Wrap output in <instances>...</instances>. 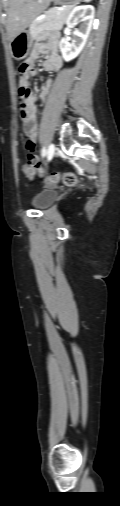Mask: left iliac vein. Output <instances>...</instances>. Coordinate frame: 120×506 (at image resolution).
<instances>
[{
	"label": "left iliac vein",
	"instance_id": "left-iliac-vein-1",
	"mask_svg": "<svg viewBox=\"0 0 120 506\" xmlns=\"http://www.w3.org/2000/svg\"><path fill=\"white\" fill-rule=\"evenodd\" d=\"M55 150H56L55 145L50 144L47 150V157L49 160L54 156Z\"/></svg>",
	"mask_w": 120,
	"mask_h": 506
}]
</instances>
